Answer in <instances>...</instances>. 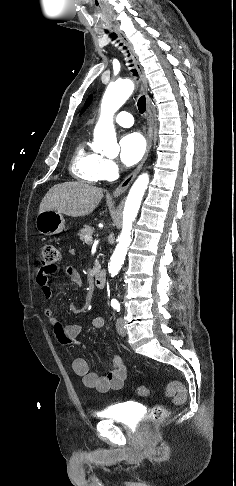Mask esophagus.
I'll use <instances>...</instances> for the list:
<instances>
[{"mask_svg":"<svg viewBox=\"0 0 236 486\" xmlns=\"http://www.w3.org/2000/svg\"><path fill=\"white\" fill-rule=\"evenodd\" d=\"M114 30L117 33V35L119 36V38L122 40V42L127 46L128 50H129V52L132 56L135 68H136V70H137V72L140 76L141 88H142L143 93L146 96V116H147V125H148L147 148H146L145 155H144L142 161L139 163V165L113 191L112 195L114 197H117V196L125 193V191L128 189L130 184L136 178L137 174L140 172L141 168L143 167V165H144V163H145V161H146V159L149 155V152H150V149H151V146H152V140H153L154 120H153V115H152V111H151L150 99H149V96H148V81H147L144 69H143V67H142V65L139 61L138 55L134 51L133 46H132L131 42L127 39V37L118 28H115Z\"/></svg>","mask_w":236,"mask_h":486,"instance_id":"34e87169","label":"esophagus"}]
</instances>
